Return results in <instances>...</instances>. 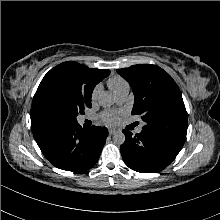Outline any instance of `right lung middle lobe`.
<instances>
[{
    "label": "right lung middle lobe",
    "instance_id": "1",
    "mask_svg": "<svg viewBox=\"0 0 220 220\" xmlns=\"http://www.w3.org/2000/svg\"><path fill=\"white\" fill-rule=\"evenodd\" d=\"M38 109L47 120L76 123L77 115L91 107L92 90L83 86V73L50 70L41 81Z\"/></svg>",
    "mask_w": 220,
    "mask_h": 220
}]
</instances>
